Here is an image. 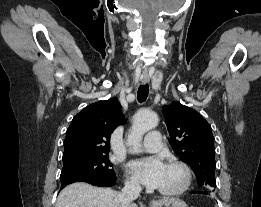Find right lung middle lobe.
<instances>
[{"instance_id":"obj_1","label":"right lung middle lobe","mask_w":261,"mask_h":207,"mask_svg":"<svg viewBox=\"0 0 261 207\" xmlns=\"http://www.w3.org/2000/svg\"><path fill=\"white\" fill-rule=\"evenodd\" d=\"M108 155L82 156L63 161L61 182L85 176H115Z\"/></svg>"}]
</instances>
